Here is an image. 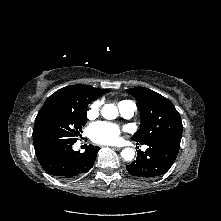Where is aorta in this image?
Segmentation results:
<instances>
[{
  "label": "aorta",
  "instance_id": "762f6f07",
  "mask_svg": "<svg viewBox=\"0 0 221 221\" xmlns=\"http://www.w3.org/2000/svg\"><path fill=\"white\" fill-rule=\"evenodd\" d=\"M102 116L106 119H114L118 114V109L114 104H105L102 108ZM121 156L126 161H131L135 152L132 148H125L121 151Z\"/></svg>",
  "mask_w": 221,
  "mask_h": 221
}]
</instances>
